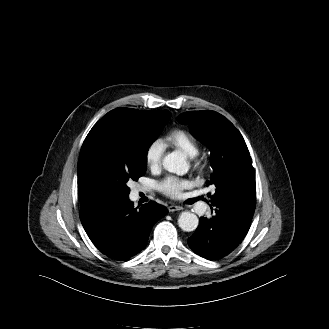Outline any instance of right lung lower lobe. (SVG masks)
Returning <instances> with one entry per match:
<instances>
[{"label": "right lung lower lobe", "mask_w": 329, "mask_h": 329, "mask_svg": "<svg viewBox=\"0 0 329 329\" xmlns=\"http://www.w3.org/2000/svg\"><path fill=\"white\" fill-rule=\"evenodd\" d=\"M167 212L156 202L138 209L128 197H104L81 206L79 215L87 235L103 254L125 260L146 247L153 225Z\"/></svg>", "instance_id": "obj_1"}]
</instances>
